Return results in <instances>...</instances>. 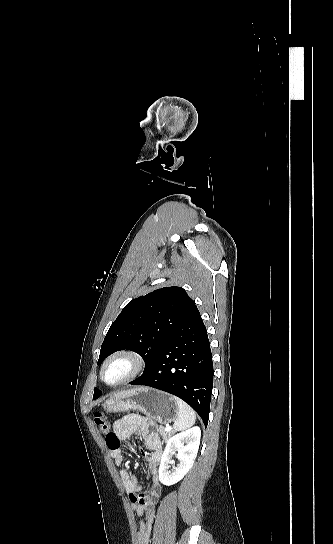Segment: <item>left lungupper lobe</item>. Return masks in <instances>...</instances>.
Wrapping results in <instances>:
<instances>
[{
    "label": "left lung upper lobe",
    "mask_w": 333,
    "mask_h": 544,
    "mask_svg": "<svg viewBox=\"0 0 333 544\" xmlns=\"http://www.w3.org/2000/svg\"><path fill=\"white\" fill-rule=\"evenodd\" d=\"M195 302L181 287L157 289L130 301L110 326L100 350L98 364L119 350H132L151 366L165 342L173 335ZM94 389L93 398L101 395Z\"/></svg>",
    "instance_id": "1"
}]
</instances>
